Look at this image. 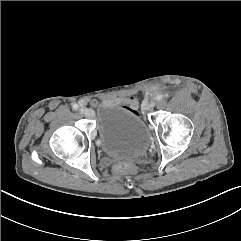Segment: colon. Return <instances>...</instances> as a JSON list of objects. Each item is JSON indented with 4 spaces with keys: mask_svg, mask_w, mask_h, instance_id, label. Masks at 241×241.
I'll use <instances>...</instances> for the list:
<instances>
[{
    "mask_svg": "<svg viewBox=\"0 0 241 241\" xmlns=\"http://www.w3.org/2000/svg\"><path fill=\"white\" fill-rule=\"evenodd\" d=\"M118 173H131L134 171V165L130 162H124L116 166Z\"/></svg>",
    "mask_w": 241,
    "mask_h": 241,
    "instance_id": "1",
    "label": "colon"
}]
</instances>
